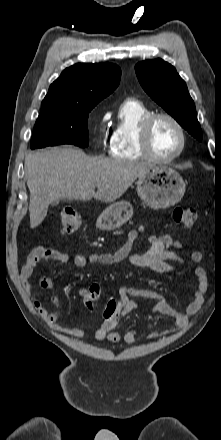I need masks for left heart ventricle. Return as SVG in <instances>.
Masks as SVG:
<instances>
[{"label": "left heart ventricle", "mask_w": 221, "mask_h": 440, "mask_svg": "<svg viewBox=\"0 0 221 440\" xmlns=\"http://www.w3.org/2000/svg\"><path fill=\"white\" fill-rule=\"evenodd\" d=\"M151 146L159 157L173 155L180 146V135L174 124L164 118L158 119L151 130Z\"/></svg>", "instance_id": "left-heart-ventricle-1"}]
</instances>
